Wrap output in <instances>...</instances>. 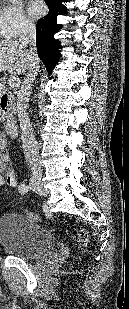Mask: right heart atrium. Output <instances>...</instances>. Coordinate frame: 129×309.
<instances>
[{"mask_svg":"<svg viewBox=\"0 0 129 309\" xmlns=\"http://www.w3.org/2000/svg\"><path fill=\"white\" fill-rule=\"evenodd\" d=\"M33 30L22 4L0 0V37L16 39Z\"/></svg>","mask_w":129,"mask_h":309,"instance_id":"d8ad5b80","label":"right heart atrium"}]
</instances>
